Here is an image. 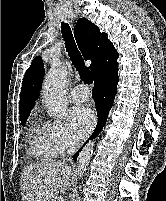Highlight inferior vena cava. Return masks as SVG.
Instances as JSON below:
<instances>
[{"label":"inferior vena cava","instance_id":"602c4592","mask_svg":"<svg viewBox=\"0 0 166 201\" xmlns=\"http://www.w3.org/2000/svg\"><path fill=\"white\" fill-rule=\"evenodd\" d=\"M77 148H78V144L77 143H72L70 145V148L68 149V154L72 155L73 153H75V151L77 150Z\"/></svg>","mask_w":166,"mask_h":201}]
</instances>
